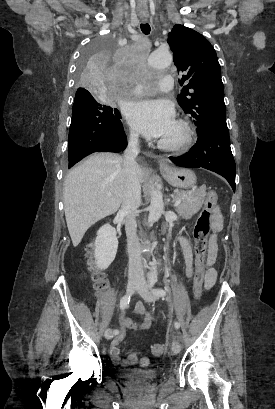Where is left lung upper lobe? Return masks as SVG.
<instances>
[{"mask_svg": "<svg viewBox=\"0 0 275 409\" xmlns=\"http://www.w3.org/2000/svg\"><path fill=\"white\" fill-rule=\"evenodd\" d=\"M168 36L183 86L177 100L193 117L197 134L210 127H227L221 68L213 46L200 33L180 24Z\"/></svg>", "mask_w": 275, "mask_h": 409, "instance_id": "obj_1", "label": "left lung upper lobe"}]
</instances>
